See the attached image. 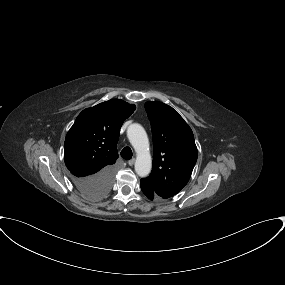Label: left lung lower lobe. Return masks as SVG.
I'll use <instances>...</instances> for the list:
<instances>
[{"label":"left lung lower lobe","mask_w":285,"mask_h":285,"mask_svg":"<svg viewBox=\"0 0 285 285\" xmlns=\"http://www.w3.org/2000/svg\"><path fill=\"white\" fill-rule=\"evenodd\" d=\"M140 186L142 192L150 199L153 200L154 197L158 196L155 191L148 185L144 180L141 179Z\"/></svg>","instance_id":"1"}]
</instances>
